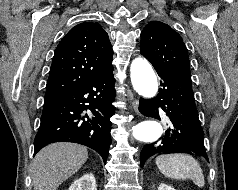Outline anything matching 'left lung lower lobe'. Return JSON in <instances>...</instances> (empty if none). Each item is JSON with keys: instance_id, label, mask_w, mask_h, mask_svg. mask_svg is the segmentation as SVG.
Instances as JSON below:
<instances>
[{"instance_id": "0a47b994", "label": "left lung lower lobe", "mask_w": 238, "mask_h": 190, "mask_svg": "<svg viewBox=\"0 0 238 190\" xmlns=\"http://www.w3.org/2000/svg\"><path fill=\"white\" fill-rule=\"evenodd\" d=\"M155 69L162 79V88L156 98L141 99L139 111L147 117L167 120L170 127L160 139L143 147L141 166L154 154L188 153L201 155L208 160L190 75Z\"/></svg>"}]
</instances>
